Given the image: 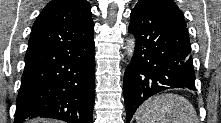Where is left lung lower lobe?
Returning a JSON list of instances; mask_svg holds the SVG:
<instances>
[{
    "instance_id": "0a47b994",
    "label": "left lung lower lobe",
    "mask_w": 221,
    "mask_h": 123,
    "mask_svg": "<svg viewBox=\"0 0 221 123\" xmlns=\"http://www.w3.org/2000/svg\"><path fill=\"white\" fill-rule=\"evenodd\" d=\"M128 31L136 38L132 62L124 74L127 123L149 97L170 88L195 90L191 46L185 26L154 13L139 1Z\"/></svg>"
}]
</instances>
